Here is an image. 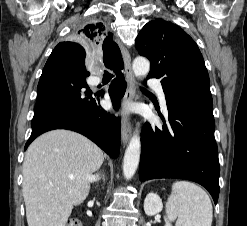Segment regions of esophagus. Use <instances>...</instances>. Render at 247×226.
Listing matches in <instances>:
<instances>
[{
	"label": "esophagus",
	"instance_id": "esophagus-1",
	"mask_svg": "<svg viewBox=\"0 0 247 226\" xmlns=\"http://www.w3.org/2000/svg\"><path fill=\"white\" fill-rule=\"evenodd\" d=\"M120 49L124 60L125 79L127 82V89L124 96V101L125 103H127L132 101L136 96V82L131 67L130 53L123 44H120ZM130 136H131L130 117L125 116L123 119L122 131H121V138L124 145L128 142Z\"/></svg>",
	"mask_w": 247,
	"mask_h": 226
}]
</instances>
